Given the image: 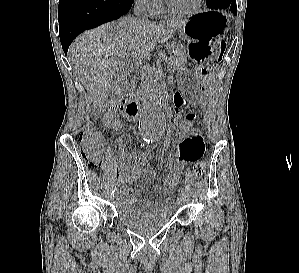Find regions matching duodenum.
Returning <instances> with one entry per match:
<instances>
[{
  "instance_id": "1",
  "label": "duodenum",
  "mask_w": 299,
  "mask_h": 273,
  "mask_svg": "<svg viewBox=\"0 0 299 273\" xmlns=\"http://www.w3.org/2000/svg\"><path fill=\"white\" fill-rule=\"evenodd\" d=\"M120 107L128 117L134 120L139 115L140 112L139 102L136 100V98L133 97L132 94H127L122 97V99L120 100ZM165 109L167 111L169 110L168 105H165Z\"/></svg>"
}]
</instances>
